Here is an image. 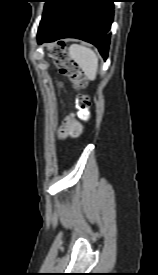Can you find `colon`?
Masks as SVG:
<instances>
[{"label":"colon","mask_w":158,"mask_h":275,"mask_svg":"<svg viewBox=\"0 0 158 275\" xmlns=\"http://www.w3.org/2000/svg\"><path fill=\"white\" fill-rule=\"evenodd\" d=\"M52 57L60 73L78 85L84 84V79L79 67L73 61L71 55L63 45H59L53 49ZM91 101L87 95L81 94L76 100L78 116L81 120L86 121L89 118V109Z\"/></svg>","instance_id":"colon-1"}]
</instances>
